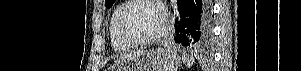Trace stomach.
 Returning <instances> with one entry per match:
<instances>
[{
  "label": "stomach",
  "mask_w": 301,
  "mask_h": 71,
  "mask_svg": "<svg viewBox=\"0 0 301 71\" xmlns=\"http://www.w3.org/2000/svg\"><path fill=\"white\" fill-rule=\"evenodd\" d=\"M180 57L167 48L142 50L134 56L124 57L111 71H177Z\"/></svg>",
  "instance_id": "stomach-1"
}]
</instances>
